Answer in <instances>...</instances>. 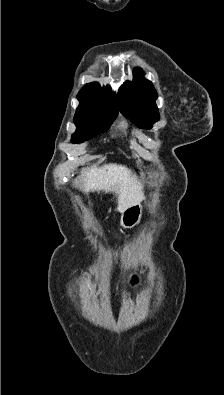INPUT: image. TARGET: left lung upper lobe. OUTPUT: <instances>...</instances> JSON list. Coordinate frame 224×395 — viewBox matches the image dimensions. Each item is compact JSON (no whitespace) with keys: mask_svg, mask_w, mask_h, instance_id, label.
I'll return each mask as SVG.
<instances>
[{"mask_svg":"<svg viewBox=\"0 0 224 395\" xmlns=\"http://www.w3.org/2000/svg\"><path fill=\"white\" fill-rule=\"evenodd\" d=\"M132 82L126 81L118 93L120 111L141 128H151L159 120L155 104L157 93L151 81L145 79L141 69L134 70Z\"/></svg>","mask_w":224,"mask_h":395,"instance_id":"obj_1","label":"left lung upper lobe"}]
</instances>
